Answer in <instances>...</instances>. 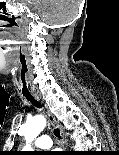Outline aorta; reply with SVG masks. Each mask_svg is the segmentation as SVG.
Segmentation results:
<instances>
[{"instance_id": "obj_1", "label": "aorta", "mask_w": 119, "mask_h": 155, "mask_svg": "<svg viewBox=\"0 0 119 155\" xmlns=\"http://www.w3.org/2000/svg\"><path fill=\"white\" fill-rule=\"evenodd\" d=\"M45 126L46 119L42 115L34 116L26 121L24 126L26 139L25 149H32L31 142L42 132Z\"/></svg>"}]
</instances>
